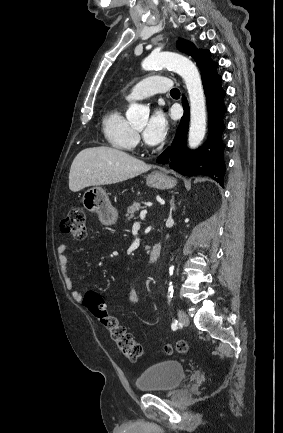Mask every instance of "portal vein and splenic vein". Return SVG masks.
Instances as JSON below:
<instances>
[{
    "label": "portal vein and splenic vein",
    "mask_w": 283,
    "mask_h": 433,
    "mask_svg": "<svg viewBox=\"0 0 283 433\" xmlns=\"http://www.w3.org/2000/svg\"><path fill=\"white\" fill-rule=\"evenodd\" d=\"M147 212H148V210H146V208H144V210H141L140 219H142V221H143V219H145Z\"/></svg>",
    "instance_id": "obj_1"
}]
</instances>
